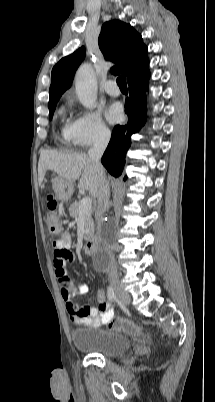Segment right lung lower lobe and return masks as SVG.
<instances>
[{
	"label": "right lung lower lobe",
	"mask_w": 215,
	"mask_h": 402,
	"mask_svg": "<svg viewBox=\"0 0 215 402\" xmlns=\"http://www.w3.org/2000/svg\"><path fill=\"white\" fill-rule=\"evenodd\" d=\"M148 79L149 74L128 83L130 97L125 102L128 122L114 127L111 140L101 159L102 164L115 177L122 173L125 154L131 145V135L145 124L147 117L145 91L148 87Z\"/></svg>",
	"instance_id": "obj_1"
}]
</instances>
